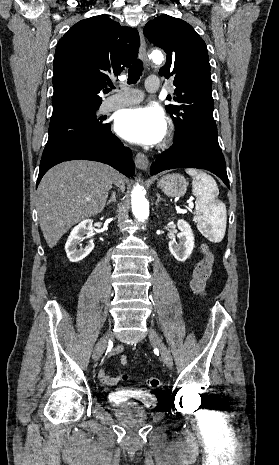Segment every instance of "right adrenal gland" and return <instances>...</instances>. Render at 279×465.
<instances>
[{
    "instance_id": "obj_1",
    "label": "right adrenal gland",
    "mask_w": 279,
    "mask_h": 465,
    "mask_svg": "<svg viewBox=\"0 0 279 465\" xmlns=\"http://www.w3.org/2000/svg\"><path fill=\"white\" fill-rule=\"evenodd\" d=\"M113 202H116V193L114 191L112 192V196L109 199V201L107 202V205H110Z\"/></svg>"
}]
</instances>
